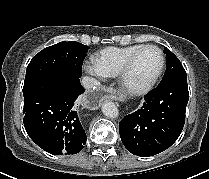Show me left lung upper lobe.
I'll list each match as a JSON object with an SVG mask.
<instances>
[{
  "label": "left lung upper lobe",
  "instance_id": "5c2ea615",
  "mask_svg": "<svg viewBox=\"0 0 209 179\" xmlns=\"http://www.w3.org/2000/svg\"><path fill=\"white\" fill-rule=\"evenodd\" d=\"M164 53L166 54L167 69L159 85L168 83L179 78H186V72L179 59L170 50H167L166 48L164 50Z\"/></svg>",
  "mask_w": 209,
  "mask_h": 179
}]
</instances>
